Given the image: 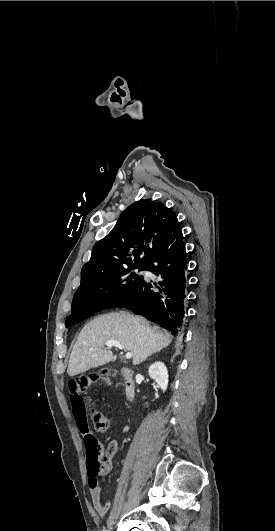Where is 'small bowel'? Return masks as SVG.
<instances>
[{
  "label": "small bowel",
  "instance_id": "obj_1",
  "mask_svg": "<svg viewBox=\"0 0 275 531\" xmlns=\"http://www.w3.org/2000/svg\"><path fill=\"white\" fill-rule=\"evenodd\" d=\"M70 383H68L67 388L71 391V394L68 398L72 413L75 417H84L86 415V400L84 399V391L81 388V385H78L79 382H82V379H79L78 376H71ZM78 424V428L82 435L83 443L86 449L90 448L97 442L95 436L88 429L87 424ZM103 476L96 479L89 478V493L92 500V503L99 516L103 517L110 509L111 503L108 500H104L102 497L101 490V481Z\"/></svg>",
  "mask_w": 275,
  "mask_h": 531
}]
</instances>
